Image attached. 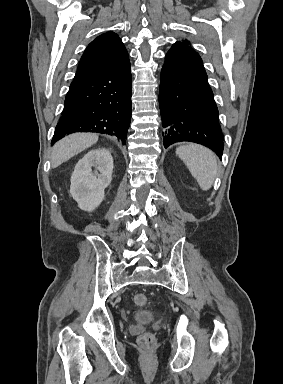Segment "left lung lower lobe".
I'll list each match as a JSON object with an SVG mask.
<instances>
[{
    "label": "left lung lower lobe",
    "instance_id": "0a47b994",
    "mask_svg": "<svg viewBox=\"0 0 283 384\" xmlns=\"http://www.w3.org/2000/svg\"><path fill=\"white\" fill-rule=\"evenodd\" d=\"M159 105L165 148L190 141L209 147L222 158L223 134L213 92L201 57L186 43L176 42L166 54Z\"/></svg>",
    "mask_w": 283,
    "mask_h": 384
}]
</instances>
